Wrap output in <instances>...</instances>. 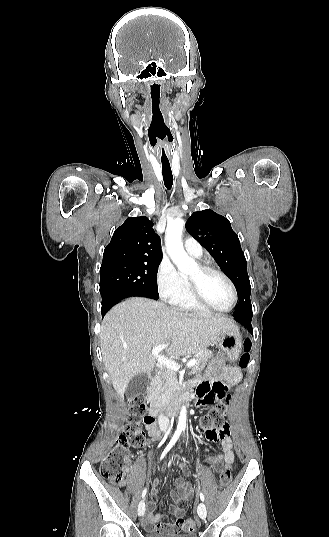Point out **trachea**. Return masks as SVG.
<instances>
[{
  "label": "trachea",
  "instance_id": "obj_1",
  "mask_svg": "<svg viewBox=\"0 0 329 537\" xmlns=\"http://www.w3.org/2000/svg\"><path fill=\"white\" fill-rule=\"evenodd\" d=\"M162 174L166 188L171 189L173 185V175L169 164H162Z\"/></svg>",
  "mask_w": 329,
  "mask_h": 537
}]
</instances>
